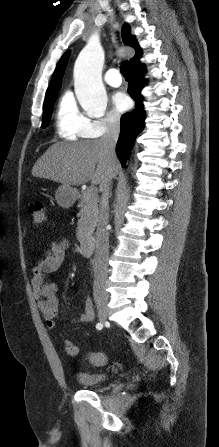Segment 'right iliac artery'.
I'll list each match as a JSON object with an SVG mask.
<instances>
[{
  "mask_svg": "<svg viewBox=\"0 0 219 447\" xmlns=\"http://www.w3.org/2000/svg\"><path fill=\"white\" fill-rule=\"evenodd\" d=\"M102 326H103V325H102L101 323H98V324L96 325V328H97V329H101Z\"/></svg>",
  "mask_w": 219,
  "mask_h": 447,
  "instance_id": "1",
  "label": "right iliac artery"
}]
</instances>
